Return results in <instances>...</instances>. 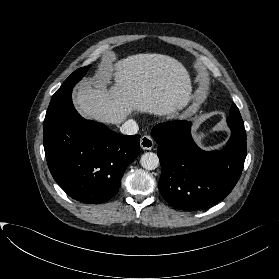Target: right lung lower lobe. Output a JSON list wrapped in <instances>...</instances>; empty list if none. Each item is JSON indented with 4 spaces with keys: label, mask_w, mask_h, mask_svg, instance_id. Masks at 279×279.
Instances as JSON below:
<instances>
[{
    "label": "right lung lower lobe",
    "mask_w": 279,
    "mask_h": 279,
    "mask_svg": "<svg viewBox=\"0 0 279 279\" xmlns=\"http://www.w3.org/2000/svg\"><path fill=\"white\" fill-rule=\"evenodd\" d=\"M43 131L54 180L71 198L88 204L112 199L127 166L140 153V135H121L84 119L72 99L45 117Z\"/></svg>",
    "instance_id": "obj_1"
}]
</instances>
